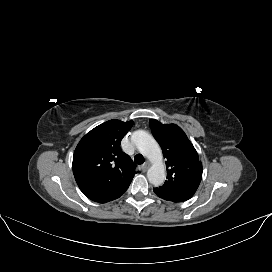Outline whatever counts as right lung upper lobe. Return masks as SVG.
<instances>
[{
    "label": "right lung upper lobe",
    "instance_id": "1",
    "mask_svg": "<svg viewBox=\"0 0 272 272\" xmlns=\"http://www.w3.org/2000/svg\"><path fill=\"white\" fill-rule=\"evenodd\" d=\"M133 121L109 120L88 132L73 155L75 180L90 200L106 203L119 198L129 187L135 165L121 151L122 138Z\"/></svg>",
    "mask_w": 272,
    "mask_h": 272
}]
</instances>
